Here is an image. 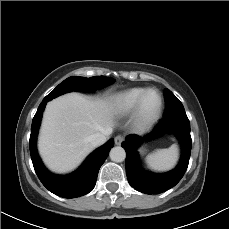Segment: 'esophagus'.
<instances>
[{
	"label": "esophagus",
	"mask_w": 229,
	"mask_h": 229,
	"mask_svg": "<svg viewBox=\"0 0 229 229\" xmlns=\"http://www.w3.org/2000/svg\"><path fill=\"white\" fill-rule=\"evenodd\" d=\"M124 141V137L123 136H116L115 137V144L116 145H121V143Z\"/></svg>",
	"instance_id": "34e87169"
}]
</instances>
